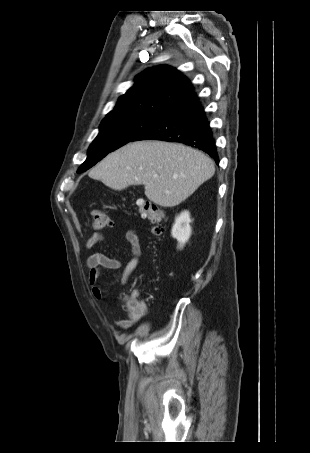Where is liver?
I'll return each mask as SVG.
<instances>
[{
  "mask_svg": "<svg viewBox=\"0 0 310 453\" xmlns=\"http://www.w3.org/2000/svg\"><path fill=\"white\" fill-rule=\"evenodd\" d=\"M215 172L203 152L178 143L137 141L108 154L89 172L113 190L145 186L146 197L162 207H174L194 193Z\"/></svg>",
  "mask_w": 310,
  "mask_h": 453,
  "instance_id": "liver-1",
  "label": "liver"
}]
</instances>
